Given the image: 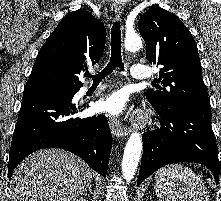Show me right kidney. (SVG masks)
<instances>
[{
    "instance_id": "right-kidney-1",
    "label": "right kidney",
    "mask_w": 221,
    "mask_h": 201,
    "mask_svg": "<svg viewBox=\"0 0 221 201\" xmlns=\"http://www.w3.org/2000/svg\"><path fill=\"white\" fill-rule=\"evenodd\" d=\"M75 201H86V199L80 198V199H77Z\"/></svg>"
}]
</instances>
